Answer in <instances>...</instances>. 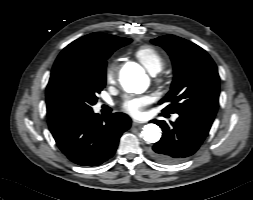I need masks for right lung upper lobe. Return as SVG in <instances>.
Returning <instances> with one entry per match:
<instances>
[{"label":"right lung upper lobe","instance_id":"obj_1","mask_svg":"<svg viewBox=\"0 0 253 200\" xmlns=\"http://www.w3.org/2000/svg\"><path fill=\"white\" fill-rule=\"evenodd\" d=\"M125 38L108 35L100 32H95L86 36H83L65 47L59 54L55 61L53 70L60 64L68 61H78L84 63H97L99 62L106 50L115 43L123 41ZM47 114L48 117L59 116L55 111L53 102L51 99L49 84L47 86Z\"/></svg>","mask_w":253,"mask_h":200}]
</instances>
